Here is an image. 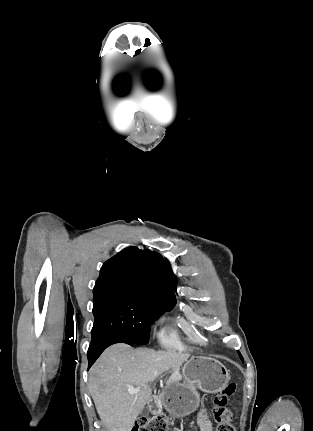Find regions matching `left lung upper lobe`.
Returning a JSON list of instances; mask_svg holds the SVG:
<instances>
[{"instance_id": "obj_1", "label": "left lung upper lobe", "mask_w": 313, "mask_h": 431, "mask_svg": "<svg viewBox=\"0 0 313 431\" xmlns=\"http://www.w3.org/2000/svg\"><path fill=\"white\" fill-rule=\"evenodd\" d=\"M170 271H171V269H170ZM171 276H172V280H173V282L175 283V276H174V274L172 273V271H171ZM238 353H239L240 359L243 361V357H242V355L240 354V352H238Z\"/></svg>"}]
</instances>
